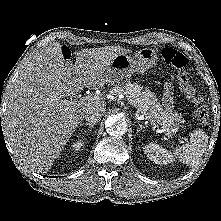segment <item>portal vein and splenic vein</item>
<instances>
[{
    "instance_id": "1",
    "label": "portal vein and splenic vein",
    "mask_w": 221,
    "mask_h": 221,
    "mask_svg": "<svg viewBox=\"0 0 221 221\" xmlns=\"http://www.w3.org/2000/svg\"><path fill=\"white\" fill-rule=\"evenodd\" d=\"M128 102L130 105H132L133 107H135V102L133 100H131L128 96H126ZM100 99V96L99 95H88V96H85V97H82L80 98L77 102L79 103H83V102H93L95 100H98ZM139 109L136 110V116H137V119L138 120H143L144 119V115H139ZM169 135V134H167Z\"/></svg>"
}]
</instances>
